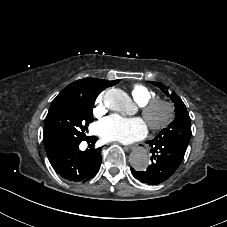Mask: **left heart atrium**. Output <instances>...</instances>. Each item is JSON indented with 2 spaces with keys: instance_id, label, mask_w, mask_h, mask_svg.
Here are the masks:
<instances>
[{
  "instance_id": "1",
  "label": "left heart atrium",
  "mask_w": 227,
  "mask_h": 227,
  "mask_svg": "<svg viewBox=\"0 0 227 227\" xmlns=\"http://www.w3.org/2000/svg\"><path fill=\"white\" fill-rule=\"evenodd\" d=\"M97 132L105 141L129 144L145 138L148 126L141 118L123 119L112 115L98 124Z\"/></svg>"
}]
</instances>
